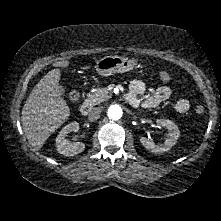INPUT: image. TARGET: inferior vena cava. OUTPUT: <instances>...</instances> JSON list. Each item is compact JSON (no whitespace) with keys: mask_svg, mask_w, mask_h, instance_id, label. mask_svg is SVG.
Listing matches in <instances>:
<instances>
[{"mask_svg":"<svg viewBox=\"0 0 221 221\" xmlns=\"http://www.w3.org/2000/svg\"><path fill=\"white\" fill-rule=\"evenodd\" d=\"M100 113H101V108L100 107L92 109L90 111V113L88 114V120L91 121V122L97 120L100 116Z\"/></svg>","mask_w":221,"mask_h":221,"instance_id":"1","label":"inferior vena cava"}]
</instances>
